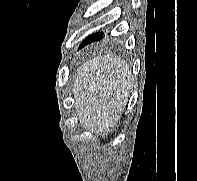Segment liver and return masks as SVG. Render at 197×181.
<instances>
[{"label": "liver", "mask_w": 197, "mask_h": 181, "mask_svg": "<svg viewBox=\"0 0 197 181\" xmlns=\"http://www.w3.org/2000/svg\"><path fill=\"white\" fill-rule=\"evenodd\" d=\"M132 88L129 65L112 54L85 61L77 70L73 94L79 122L102 133L117 126Z\"/></svg>", "instance_id": "6515ba94"}]
</instances>
